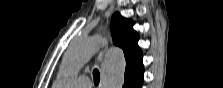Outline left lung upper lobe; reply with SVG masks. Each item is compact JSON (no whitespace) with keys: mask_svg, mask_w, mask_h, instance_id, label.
I'll return each mask as SVG.
<instances>
[{"mask_svg":"<svg viewBox=\"0 0 223 88\" xmlns=\"http://www.w3.org/2000/svg\"><path fill=\"white\" fill-rule=\"evenodd\" d=\"M133 22L116 12L111 19L113 43L121 47L126 58V68L142 65V52L138 46V35L132 29Z\"/></svg>","mask_w":223,"mask_h":88,"instance_id":"left-lung-upper-lobe-1","label":"left lung upper lobe"}]
</instances>
